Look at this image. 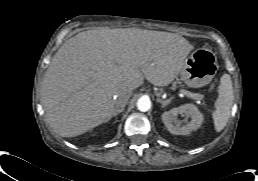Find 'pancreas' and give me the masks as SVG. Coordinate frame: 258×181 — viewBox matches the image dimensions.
Wrapping results in <instances>:
<instances>
[{"instance_id": "1", "label": "pancreas", "mask_w": 258, "mask_h": 181, "mask_svg": "<svg viewBox=\"0 0 258 181\" xmlns=\"http://www.w3.org/2000/svg\"><path fill=\"white\" fill-rule=\"evenodd\" d=\"M199 96H198V98L197 99H199V100H202L203 98H204V96L203 95H201V94H198Z\"/></svg>"}]
</instances>
